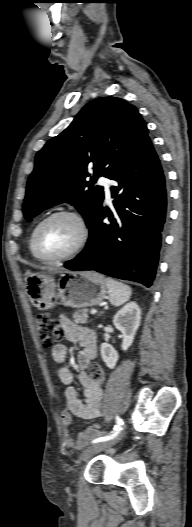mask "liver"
I'll return each instance as SVG.
<instances>
[{"mask_svg":"<svg viewBox=\"0 0 192 527\" xmlns=\"http://www.w3.org/2000/svg\"><path fill=\"white\" fill-rule=\"evenodd\" d=\"M41 269L43 271H47L49 273H59L62 270V269H59V268L47 267V266H43V267H41Z\"/></svg>","mask_w":192,"mask_h":527,"instance_id":"6515ba94","label":"liver"}]
</instances>
